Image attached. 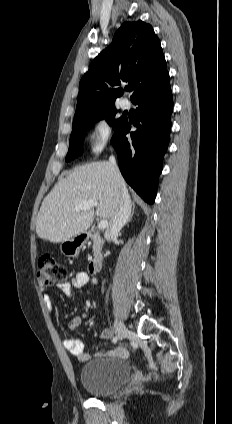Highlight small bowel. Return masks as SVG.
<instances>
[{
  "mask_svg": "<svg viewBox=\"0 0 232 424\" xmlns=\"http://www.w3.org/2000/svg\"><path fill=\"white\" fill-rule=\"evenodd\" d=\"M96 280L93 278L88 272L80 271L75 274L71 281L61 282L57 285V288L67 297H71L73 295V290L76 288L83 287L85 285H95ZM41 289H43L41 287ZM43 304L48 309L51 310L53 308L52 298L48 294H44ZM82 324V318L79 315L73 316L68 322V328L70 331H77ZM112 337V331L109 328H104L100 333V338L102 340H109ZM64 347L66 350L74 357L79 359L80 361H87L91 358L92 355L100 356V355H113L117 358H124L128 355V351L124 347H119L113 350H108L105 348H100L96 350L93 354L85 351L84 343L78 339L74 338H65L63 340Z\"/></svg>",
  "mask_w": 232,
  "mask_h": 424,
  "instance_id": "obj_1",
  "label": "small bowel"
}]
</instances>
